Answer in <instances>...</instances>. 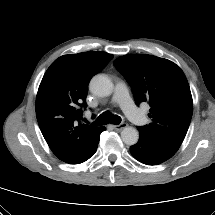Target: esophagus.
Listing matches in <instances>:
<instances>
[{
	"label": "esophagus",
	"mask_w": 215,
	"mask_h": 215,
	"mask_svg": "<svg viewBox=\"0 0 215 215\" xmlns=\"http://www.w3.org/2000/svg\"><path fill=\"white\" fill-rule=\"evenodd\" d=\"M127 127V124L126 123H121V124H118V125H113V128L116 130V131H121L122 129L126 128Z\"/></svg>",
	"instance_id": "34e87169"
}]
</instances>
